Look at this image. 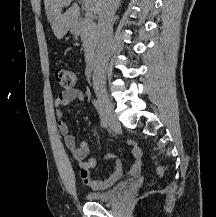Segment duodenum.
<instances>
[{
  "label": "duodenum",
  "mask_w": 216,
  "mask_h": 217,
  "mask_svg": "<svg viewBox=\"0 0 216 217\" xmlns=\"http://www.w3.org/2000/svg\"><path fill=\"white\" fill-rule=\"evenodd\" d=\"M97 65V58L93 52L88 53L87 75L91 76Z\"/></svg>",
  "instance_id": "obj_1"
}]
</instances>
